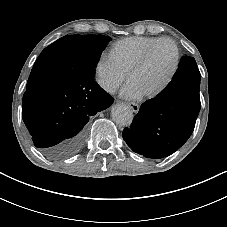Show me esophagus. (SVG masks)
Here are the masks:
<instances>
[{"instance_id":"esophagus-1","label":"esophagus","mask_w":227,"mask_h":227,"mask_svg":"<svg viewBox=\"0 0 227 227\" xmlns=\"http://www.w3.org/2000/svg\"><path fill=\"white\" fill-rule=\"evenodd\" d=\"M127 105L129 106V108H130L134 113H138L139 108H140L139 104L133 103V102H129Z\"/></svg>"}]
</instances>
